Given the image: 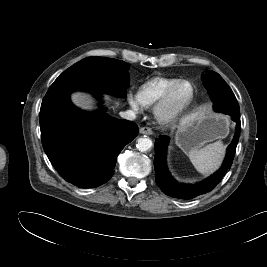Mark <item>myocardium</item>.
Instances as JSON below:
<instances>
[{
  "mask_svg": "<svg viewBox=\"0 0 267 267\" xmlns=\"http://www.w3.org/2000/svg\"><path fill=\"white\" fill-rule=\"evenodd\" d=\"M187 85L190 88V94L188 98L176 109H171L172 98L176 90L182 86ZM194 98V87L192 83L187 80H180L172 85L165 94L156 102L154 107V115L156 119L164 125H173L180 121L183 114L190 106Z\"/></svg>",
  "mask_w": 267,
  "mask_h": 267,
  "instance_id": "f54148a6",
  "label": "myocardium"
}]
</instances>
